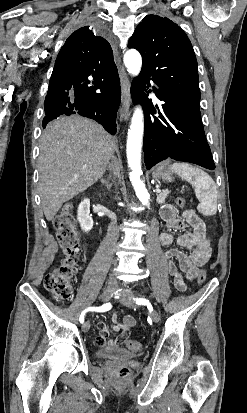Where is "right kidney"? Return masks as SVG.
<instances>
[{"label":"right kidney","mask_w":247,"mask_h":413,"mask_svg":"<svg viewBox=\"0 0 247 413\" xmlns=\"http://www.w3.org/2000/svg\"><path fill=\"white\" fill-rule=\"evenodd\" d=\"M77 219L82 231H85V233L86 231H91L93 227V219L90 217V198L81 200L78 207Z\"/></svg>","instance_id":"obj_1"}]
</instances>
